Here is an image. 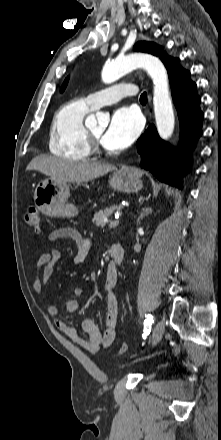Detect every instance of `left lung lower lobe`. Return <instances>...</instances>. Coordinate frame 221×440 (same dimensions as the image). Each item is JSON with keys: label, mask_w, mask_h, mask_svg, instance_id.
<instances>
[{"label": "left lung lower lobe", "mask_w": 221, "mask_h": 440, "mask_svg": "<svg viewBox=\"0 0 221 440\" xmlns=\"http://www.w3.org/2000/svg\"><path fill=\"white\" fill-rule=\"evenodd\" d=\"M166 66L173 101L180 122V155L176 157L171 146L161 140L154 125H150L137 141V151L142 155L141 167L149 170L159 180L181 187L179 172L187 171L190 161L178 169L187 150L192 149L201 136L203 113L196 84L190 81L189 72L182 69L179 60L166 57Z\"/></svg>", "instance_id": "0a47b994"}]
</instances>
